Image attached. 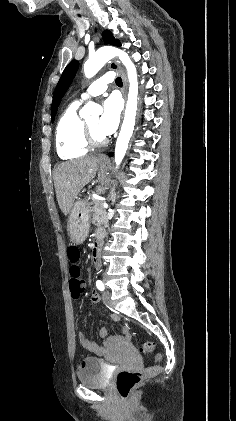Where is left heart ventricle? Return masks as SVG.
<instances>
[{"mask_svg": "<svg viewBox=\"0 0 236 421\" xmlns=\"http://www.w3.org/2000/svg\"><path fill=\"white\" fill-rule=\"evenodd\" d=\"M98 117L99 116H95V117L86 119L93 136L97 139L102 138L104 136L103 134H101V132L98 129V122H99Z\"/></svg>", "mask_w": 236, "mask_h": 421, "instance_id": "obj_1", "label": "left heart ventricle"}]
</instances>
